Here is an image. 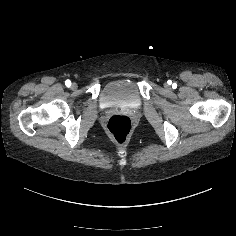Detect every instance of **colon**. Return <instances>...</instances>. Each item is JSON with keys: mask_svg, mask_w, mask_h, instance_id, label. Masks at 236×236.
<instances>
[{"mask_svg": "<svg viewBox=\"0 0 236 236\" xmlns=\"http://www.w3.org/2000/svg\"><path fill=\"white\" fill-rule=\"evenodd\" d=\"M133 129L131 119L127 115H113L106 124L108 134L119 144L130 137Z\"/></svg>", "mask_w": 236, "mask_h": 236, "instance_id": "obj_1", "label": "colon"}]
</instances>
